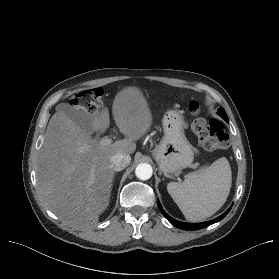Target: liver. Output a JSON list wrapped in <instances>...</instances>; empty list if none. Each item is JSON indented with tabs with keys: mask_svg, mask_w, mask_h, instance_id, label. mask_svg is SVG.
I'll list each match as a JSON object with an SVG mask.
<instances>
[{
	"mask_svg": "<svg viewBox=\"0 0 279 279\" xmlns=\"http://www.w3.org/2000/svg\"><path fill=\"white\" fill-rule=\"evenodd\" d=\"M60 105L48 123L38 155V191L46 207L67 226L90 228L109 205L114 177L111 156L135 151V141L151 127L152 114L138 87L123 88L114 98L112 111L125 138L102 145L91 135L109 127L107 109L91 117L92 132H87L65 115Z\"/></svg>",
	"mask_w": 279,
	"mask_h": 279,
	"instance_id": "obj_1",
	"label": "liver"
}]
</instances>
